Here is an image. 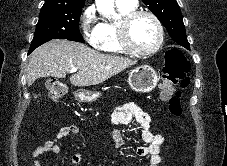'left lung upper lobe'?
<instances>
[{
  "label": "left lung upper lobe",
  "mask_w": 227,
  "mask_h": 166,
  "mask_svg": "<svg viewBox=\"0 0 227 166\" xmlns=\"http://www.w3.org/2000/svg\"><path fill=\"white\" fill-rule=\"evenodd\" d=\"M165 26L171 38L189 49L183 17L176 0H142Z\"/></svg>",
  "instance_id": "left-lung-upper-lobe-1"
}]
</instances>
